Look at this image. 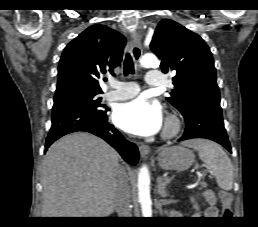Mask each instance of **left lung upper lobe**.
Returning <instances> with one entry per match:
<instances>
[{
  "label": "left lung upper lobe",
  "mask_w": 258,
  "mask_h": 227,
  "mask_svg": "<svg viewBox=\"0 0 258 227\" xmlns=\"http://www.w3.org/2000/svg\"><path fill=\"white\" fill-rule=\"evenodd\" d=\"M150 48L162 60V71L175 73L174 89L167 100L184 117L203 105L220 106L212 53L199 35L163 19L155 29Z\"/></svg>",
  "instance_id": "1"
}]
</instances>
